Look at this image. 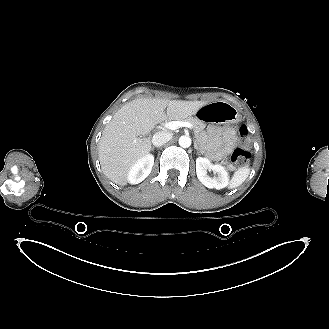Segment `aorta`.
Segmentation results:
<instances>
[{"label":"aorta","instance_id":"aorta-1","mask_svg":"<svg viewBox=\"0 0 329 329\" xmlns=\"http://www.w3.org/2000/svg\"><path fill=\"white\" fill-rule=\"evenodd\" d=\"M179 145L183 148H188L191 145V138L189 136H181L179 138Z\"/></svg>","mask_w":329,"mask_h":329}]
</instances>
